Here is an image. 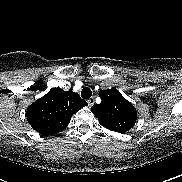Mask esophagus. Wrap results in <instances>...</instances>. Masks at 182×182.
I'll return each mask as SVG.
<instances>
[{"instance_id": "1", "label": "esophagus", "mask_w": 182, "mask_h": 182, "mask_svg": "<svg viewBox=\"0 0 182 182\" xmlns=\"http://www.w3.org/2000/svg\"><path fill=\"white\" fill-rule=\"evenodd\" d=\"M94 102H95L94 97L87 100V103H88L89 107L93 106Z\"/></svg>"}]
</instances>
